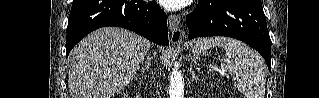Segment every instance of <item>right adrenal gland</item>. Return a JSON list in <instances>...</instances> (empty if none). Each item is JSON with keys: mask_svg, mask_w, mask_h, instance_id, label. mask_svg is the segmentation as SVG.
Wrapping results in <instances>:
<instances>
[{"mask_svg": "<svg viewBox=\"0 0 319 98\" xmlns=\"http://www.w3.org/2000/svg\"><path fill=\"white\" fill-rule=\"evenodd\" d=\"M151 61H152V57L150 54H148L147 59L145 61V67L142 68V72H149L150 71V68L152 66Z\"/></svg>", "mask_w": 319, "mask_h": 98, "instance_id": "1", "label": "right adrenal gland"}]
</instances>
